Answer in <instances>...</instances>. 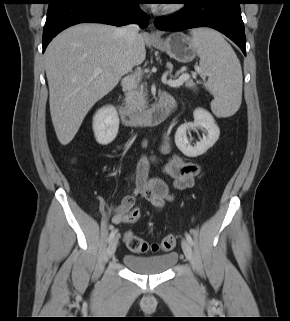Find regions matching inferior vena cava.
I'll list each match as a JSON object with an SVG mask.
<instances>
[{
  "label": "inferior vena cava",
  "instance_id": "602c4592",
  "mask_svg": "<svg viewBox=\"0 0 290 321\" xmlns=\"http://www.w3.org/2000/svg\"><path fill=\"white\" fill-rule=\"evenodd\" d=\"M139 26L137 24H129L120 28V35L126 40L127 43H132L137 37Z\"/></svg>",
  "mask_w": 290,
  "mask_h": 321
}]
</instances>
